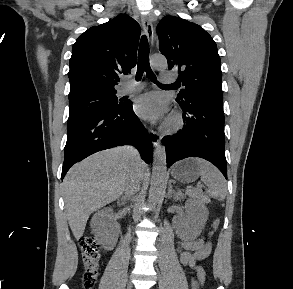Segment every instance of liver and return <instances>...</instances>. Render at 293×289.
<instances>
[{
  "label": "liver",
  "mask_w": 293,
  "mask_h": 289,
  "mask_svg": "<svg viewBox=\"0 0 293 289\" xmlns=\"http://www.w3.org/2000/svg\"><path fill=\"white\" fill-rule=\"evenodd\" d=\"M133 168L135 161L125 147H117L95 153L68 171L63 195L69 226L77 240L83 236L89 216L123 194ZM137 169L142 178L145 164L140 161Z\"/></svg>",
  "instance_id": "6515ba94"
}]
</instances>
